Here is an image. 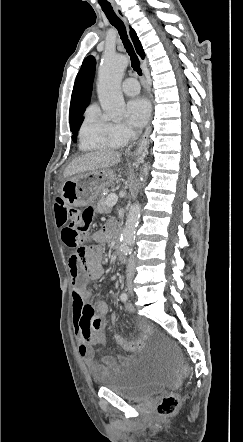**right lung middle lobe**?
Returning a JSON list of instances; mask_svg holds the SVG:
<instances>
[{
    "label": "right lung middle lobe",
    "mask_w": 243,
    "mask_h": 442,
    "mask_svg": "<svg viewBox=\"0 0 243 442\" xmlns=\"http://www.w3.org/2000/svg\"><path fill=\"white\" fill-rule=\"evenodd\" d=\"M83 120H78L75 123L70 125L71 132L73 133L72 139L76 141V133L78 132Z\"/></svg>",
    "instance_id": "dd1d6c3e"
}]
</instances>
